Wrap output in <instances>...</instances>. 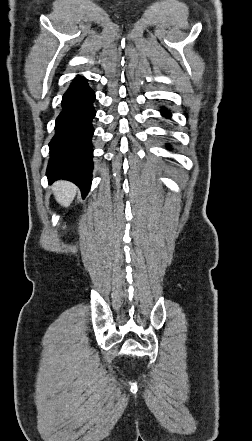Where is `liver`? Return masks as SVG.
<instances>
[{
	"label": "liver",
	"mask_w": 252,
	"mask_h": 441,
	"mask_svg": "<svg viewBox=\"0 0 252 441\" xmlns=\"http://www.w3.org/2000/svg\"><path fill=\"white\" fill-rule=\"evenodd\" d=\"M52 191L57 202L68 207L76 196L77 187L68 181H57L53 184Z\"/></svg>",
	"instance_id": "6515ba94"
}]
</instances>
